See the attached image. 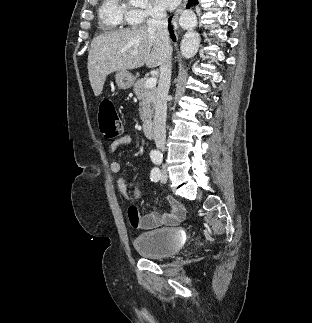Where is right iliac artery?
Listing matches in <instances>:
<instances>
[{"mask_svg": "<svg viewBox=\"0 0 312 323\" xmlns=\"http://www.w3.org/2000/svg\"><path fill=\"white\" fill-rule=\"evenodd\" d=\"M156 159H159V160H160V163H159V164H161V162H162V158H156Z\"/></svg>", "mask_w": 312, "mask_h": 323, "instance_id": "82829eb1", "label": "right iliac artery"}]
</instances>
